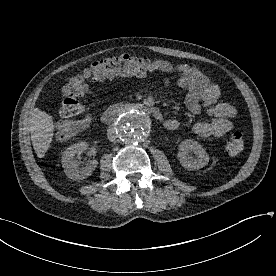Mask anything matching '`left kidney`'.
I'll list each match as a JSON object with an SVG mask.
<instances>
[{"instance_id":"left-kidney-1","label":"left kidney","mask_w":276,"mask_h":276,"mask_svg":"<svg viewBox=\"0 0 276 276\" xmlns=\"http://www.w3.org/2000/svg\"><path fill=\"white\" fill-rule=\"evenodd\" d=\"M192 153L195 154L196 158L192 156ZM177 157L180 164L189 170L203 168L209 162V155L202 145L190 139L181 142Z\"/></svg>"}]
</instances>
